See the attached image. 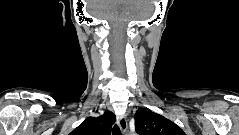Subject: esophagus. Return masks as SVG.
Wrapping results in <instances>:
<instances>
[{
	"mask_svg": "<svg viewBox=\"0 0 239 135\" xmlns=\"http://www.w3.org/2000/svg\"><path fill=\"white\" fill-rule=\"evenodd\" d=\"M118 124H119V127H120L121 131L125 134L127 132V129H128V124H127L126 117L121 116L118 119Z\"/></svg>",
	"mask_w": 239,
	"mask_h": 135,
	"instance_id": "obj_1",
	"label": "esophagus"
}]
</instances>
